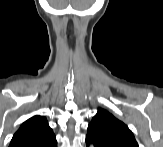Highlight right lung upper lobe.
Listing matches in <instances>:
<instances>
[{
	"label": "right lung upper lobe",
	"instance_id": "1",
	"mask_svg": "<svg viewBox=\"0 0 163 147\" xmlns=\"http://www.w3.org/2000/svg\"><path fill=\"white\" fill-rule=\"evenodd\" d=\"M52 129L45 117L33 116L25 121L14 134L10 147L23 142L47 141L54 138Z\"/></svg>",
	"mask_w": 163,
	"mask_h": 147
}]
</instances>
